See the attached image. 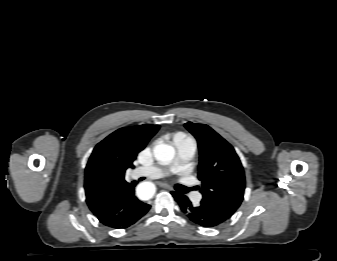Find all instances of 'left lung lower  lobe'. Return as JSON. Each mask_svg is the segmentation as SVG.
<instances>
[{"label": "left lung lower lobe", "mask_w": 337, "mask_h": 261, "mask_svg": "<svg viewBox=\"0 0 337 261\" xmlns=\"http://www.w3.org/2000/svg\"><path fill=\"white\" fill-rule=\"evenodd\" d=\"M172 195L178 202L182 212L192 222L199 226L212 228L219 226L228 220L225 216L221 215L208 206L199 205L194 207L185 195L176 192H172Z\"/></svg>", "instance_id": "left-lung-lower-lobe-1"}]
</instances>
